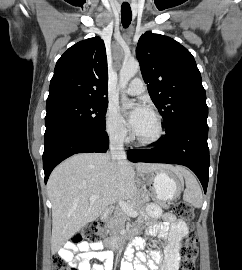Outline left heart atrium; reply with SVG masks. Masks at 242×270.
Listing matches in <instances>:
<instances>
[{
    "instance_id": "obj_1",
    "label": "left heart atrium",
    "mask_w": 242,
    "mask_h": 270,
    "mask_svg": "<svg viewBox=\"0 0 242 270\" xmlns=\"http://www.w3.org/2000/svg\"><path fill=\"white\" fill-rule=\"evenodd\" d=\"M149 114L150 110L144 103H137L135 107L127 113L129 125L133 130H136Z\"/></svg>"
}]
</instances>
